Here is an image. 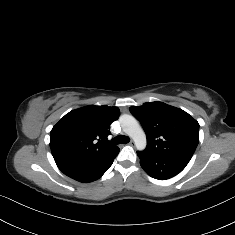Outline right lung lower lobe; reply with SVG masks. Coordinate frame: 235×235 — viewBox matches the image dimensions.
I'll return each instance as SVG.
<instances>
[{
    "instance_id": "obj_1",
    "label": "right lung lower lobe",
    "mask_w": 235,
    "mask_h": 235,
    "mask_svg": "<svg viewBox=\"0 0 235 235\" xmlns=\"http://www.w3.org/2000/svg\"><path fill=\"white\" fill-rule=\"evenodd\" d=\"M116 156L100 161H59L56 164L66 176L79 182L89 183L99 179L112 165Z\"/></svg>"
}]
</instances>
